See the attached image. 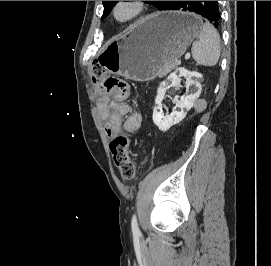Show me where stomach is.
Returning a JSON list of instances; mask_svg holds the SVG:
<instances>
[{
	"label": "stomach",
	"instance_id": "obj_1",
	"mask_svg": "<svg viewBox=\"0 0 271 266\" xmlns=\"http://www.w3.org/2000/svg\"><path fill=\"white\" fill-rule=\"evenodd\" d=\"M190 12L169 11L146 17L123 35L110 40L98 57L112 74L134 81H150L164 65L179 59L200 30Z\"/></svg>",
	"mask_w": 271,
	"mask_h": 266
}]
</instances>
